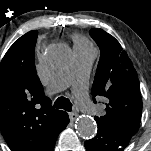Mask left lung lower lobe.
Listing matches in <instances>:
<instances>
[{"label":"left lung lower lobe","instance_id":"obj_1","mask_svg":"<svg viewBox=\"0 0 151 151\" xmlns=\"http://www.w3.org/2000/svg\"><path fill=\"white\" fill-rule=\"evenodd\" d=\"M131 136L98 126L97 135L85 142L88 151H123Z\"/></svg>","mask_w":151,"mask_h":151}]
</instances>
